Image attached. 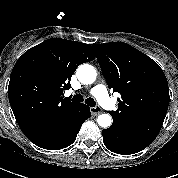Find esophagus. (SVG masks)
Wrapping results in <instances>:
<instances>
[{"instance_id":"obj_1","label":"esophagus","mask_w":178,"mask_h":178,"mask_svg":"<svg viewBox=\"0 0 178 178\" xmlns=\"http://www.w3.org/2000/svg\"><path fill=\"white\" fill-rule=\"evenodd\" d=\"M90 112H91L92 115L97 116L102 112V109H101L100 106L91 107Z\"/></svg>"}]
</instances>
